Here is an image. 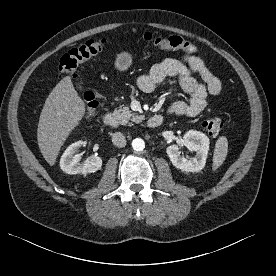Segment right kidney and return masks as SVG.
<instances>
[{"mask_svg":"<svg viewBox=\"0 0 276 276\" xmlns=\"http://www.w3.org/2000/svg\"><path fill=\"white\" fill-rule=\"evenodd\" d=\"M85 143L77 141L71 144L63 153L60 159V168L68 174H83L94 173L102 166V159L99 156H91L85 161L81 160V154H76Z\"/></svg>","mask_w":276,"mask_h":276,"instance_id":"obj_1","label":"right kidney"}]
</instances>
